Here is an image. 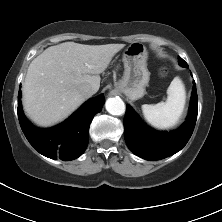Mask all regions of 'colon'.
I'll list each match as a JSON object with an SVG mask.
<instances>
[{
    "label": "colon",
    "instance_id": "1",
    "mask_svg": "<svg viewBox=\"0 0 222 222\" xmlns=\"http://www.w3.org/2000/svg\"><path fill=\"white\" fill-rule=\"evenodd\" d=\"M160 73H161V75L165 76L168 73L167 68H162Z\"/></svg>",
    "mask_w": 222,
    "mask_h": 222
}]
</instances>
